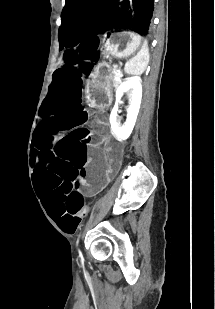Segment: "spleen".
Here are the masks:
<instances>
[{
	"label": "spleen",
	"mask_w": 215,
	"mask_h": 309,
	"mask_svg": "<svg viewBox=\"0 0 215 309\" xmlns=\"http://www.w3.org/2000/svg\"><path fill=\"white\" fill-rule=\"evenodd\" d=\"M148 62L149 48L147 40H144L143 46H141V50L137 52L136 56H132V58H129V60L125 62L124 70L128 72V74H142Z\"/></svg>",
	"instance_id": "3e777b00"
}]
</instances>
